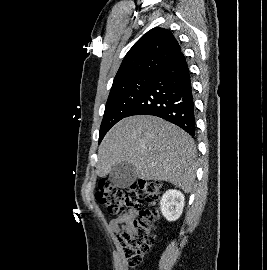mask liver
Masks as SVG:
<instances>
[{
    "label": "liver",
    "instance_id": "6515ba94",
    "mask_svg": "<svg viewBox=\"0 0 267 270\" xmlns=\"http://www.w3.org/2000/svg\"><path fill=\"white\" fill-rule=\"evenodd\" d=\"M196 147L182 129L159 117L137 115L118 122L98 149L96 173L108 175L119 163H131L137 177L166 181L192 191L195 179Z\"/></svg>",
    "mask_w": 267,
    "mask_h": 270
}]
</instances>
